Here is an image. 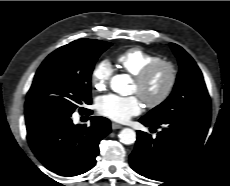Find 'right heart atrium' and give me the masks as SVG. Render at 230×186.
I'll return each mask as SVG.
<instances>
[{"mask_svg": "<svg viewBox=\"0 0 230 186\" xmlns=\"http://www.w3.org/2000/svg\"><path fill=\"white\" fill-rule=\"evenodd\" d=\"M112 73L113 67L108 60L98 61L94 65L90 76L93 87L99 91L104 90L111 79Z\"/></svg>", "mask_w": 230, "mask_h": 186, "instance_id": "d8ad5b80", "label": "right heart atrium"}]
</instances>
